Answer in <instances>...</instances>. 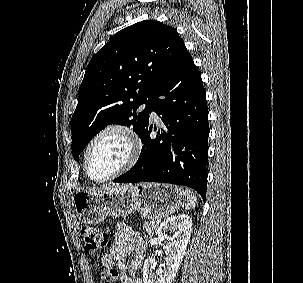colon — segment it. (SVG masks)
<instances>
[{"label":"colon","instance_id":"1","mask_svg":"<svg viewBox=\"0 0 303 283\" xmlns=\"http://www.w3.org/2000/svg\"><path fill=\"white\" fill-rule=\"evenodd\" d=\"M82 239L85 251L96 254L99 250L109 245L110 238L107 231L87 225L82 229ZM118 277L116 269H108L102 275V283H114Z\"/></svg>","mask_w":303,"mask_h":283}]
</instances>
